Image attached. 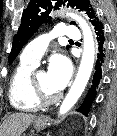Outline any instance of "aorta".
I'll use <instances>...</instances> for the list:
<instances>
[{"instance_id": "1", "label": "aorta", "mask_w": 117, "mask_h": 136, "mask_svg": "<svg viewBox=\"0 0 117 136\" xmlns=\"http://www.w3.org/2000/svg\"><path fill=\"white\" fill-rule=\"evenodd\" d=\"M67 15L73 18L82 30L83 53L74 83L60 106L61 115L67 113L81 97L90 79L95 60V41L89 24L77 14L68 13Z\"/></svg>"}]
</instances>
